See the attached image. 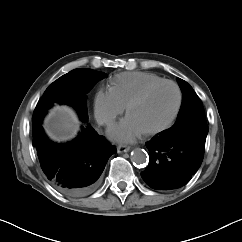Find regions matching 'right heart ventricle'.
Instances as JSON below:
<instances>
[{"mask_svg":"<svg viewBox=\"0 0 242 242\" xmlns=\"http://www.w3.org/2000/svg\"><path fill=\"white\" fill-rule=\"evenodd\" d=\"M161 80L163 78L153 73L140 71L124 72L110 80V90L124 106H127L143 89Z\"/></svg>","mask_w":242,"mask_h":242,"instance_id":"obj_1","label":"right heart ventricle"}]
</instances>
